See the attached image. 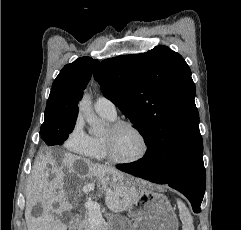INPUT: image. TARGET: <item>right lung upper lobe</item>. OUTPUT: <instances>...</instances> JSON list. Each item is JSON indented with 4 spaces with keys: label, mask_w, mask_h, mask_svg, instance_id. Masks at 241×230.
I'll use <instances>...</instances> for the list:
<instances>
[{
    "label": "right lung upper lobe",
    "mask_w": 241,
    "mask_h": 230,
    "mask_svg": "<svg viewBox=\"0 0 241 230\" xmlns=\"http://www.w3.org/2000/svg\"><path fill=\"white\" fill-rule=\"evenodd\" d=\"M98 64V60L85 56L64 66L52 84L45 109V120L77 119V101L81 99L83 90Z\"/></svg>",
    "instance_id": "obj_1"
}]
</instances>
